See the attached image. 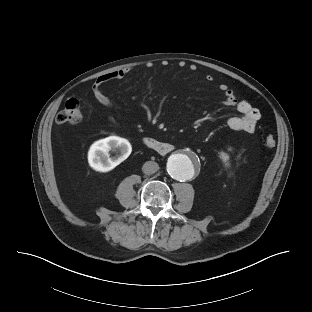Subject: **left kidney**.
I'll return each instance as SVG.
<instances>
[{"label":"left kidney","mask_w":312,"mask_h":312,"mask_svg":"<svg viewBox=\"0 0 312 312\" xmlns=\"http://www.w3.org/2000/svg\"><path fill=\"white\" fill-rule=\"evenodd\" d=\"M220 158L224 161L227 162L229 159V156L226 153H221Z\"/></svg>","instance_id":"5707ae66"}]
</instances>
